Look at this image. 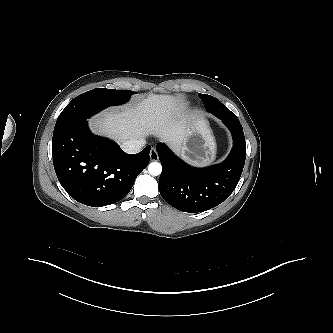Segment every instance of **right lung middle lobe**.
<instances>
[{
  "mask_svg": "<svg viewBox=\"0 0 333 333\" xmlns=\"http://www.w3.org/2000/svg\"><path fill=\"white\" fill-rule=\"evenodd\" d=\"M135 92L97 88L74 98L62 111L60 117H91L108 106L126 103Z\"/></svg>",
  "mask_w": 333,
  "mask_h": 333,
  "instance_id": "1",
  "label": "right lung middle lobe"
}]
</instances>
